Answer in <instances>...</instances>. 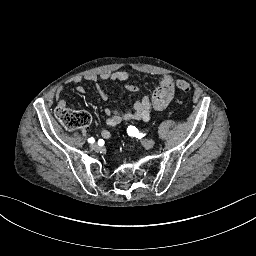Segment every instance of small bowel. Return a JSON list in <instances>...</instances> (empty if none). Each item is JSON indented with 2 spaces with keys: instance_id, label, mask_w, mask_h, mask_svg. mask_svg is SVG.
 Wrapping results in <instances>:
<instances>
[{
  "instance_id": "c3829d8e",
  "label": "small bowel",
  "mask_w": 256,
  "mask_h": 256,
  "mask_svg": "<svg viewBox=\"0 0 256 256\" xmlns=\"http://www.w3.org/2000/svg\"><path fill=\"white\" fill-rule=\"evenodd\" d=\"M129 78V75L124 70H118L114 72H103L99 76L96 74H89L84 77L85 80L95 84L97 93L102 100L108 99V93L103 89L98 81H118L124 82ZM82 78L75 77L70 80V84L76 87L79 93H85L84 86L81 85ZM175 80L170 75H162L158 80V87L151 97L145 95L140 100L134 103L132 109L125 111H119L116 109H105L104 115L106 116L107 128L100 131V136L104 139H108L112 136V132L117 125L122 121L127 120H142L149 121L152 117V109L158 114L163 113L166 108L172 103L175 94ZM125 89L129 92H138L139 88L134 84H127ZM62 88H59L56 92V102L58 108L66 107V100L61 96Z\"/></svg>"
}]
</instances>
